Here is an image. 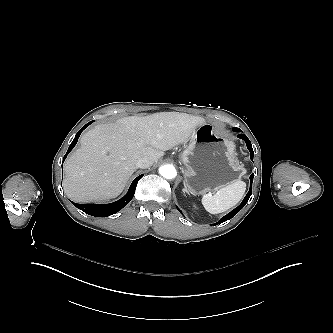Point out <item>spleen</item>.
Wrapping results in <instances>:
<instances>
[{"mask_svg":"<svg viewBox=\"0 0 333 333\" xmlns=\"http://www.w3.org/2000/svg\"><path fill=\"white\" fill-rule=\"evenodd\" d=\"M246 190V183L242 180L228 184L212 194L202 197L201 203L205 210L211 214L224 212L235 206Z\"/></svg>","mask_w":333,"mask_h":333,"instance_id":"spleen-1","label":"spleen"}]
</instances>
